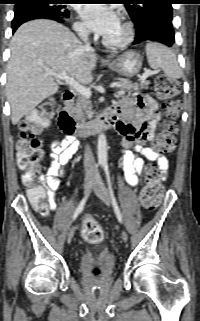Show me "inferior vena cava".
Here are the masks:
<instances>
[{"mask_svg": "<svg viewBox=\"0 0 200 321\" xmlns=\"http://www.w3.org/2000/svg\"><path fill=\"white\" fill-rule=\"evenodd\" d=\"M79 37L84 41L85 48L92 50L90 43L88 42L89 33L86 30H80L78 33ZM84 168L86 175L97 176V167L94 161V157L90 147L87 145L84 152Z\"/></svg>", "mask_w": 200, "mask_h": 321, "instance_id": "602c4592", "label": "inferior vena cava"}]
</instances>
